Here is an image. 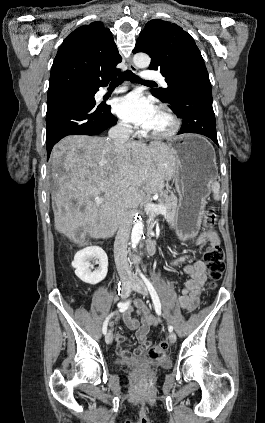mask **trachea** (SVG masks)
<instances>
[{"mask_svg": "<svg viewBox=\"0 0 265 423\" xmlns=\"http://www.w3.org/2000/svg\"><path fill=\"white\" fill-rule=\"evenodd\" d=\"M125 79L133 82V83H140V84H155V82L152 81H145L142 80L141 78H139L137 75H135L134 73H132L129 70H126L124 73H122L121 76H119L118 78H115L114 80L111 81L110 85H120Z\"/></svg>", "mask_w": 265, "mask_h": 423, "instance_id": "3493384b", "label": "trachea"}]
</instances>
